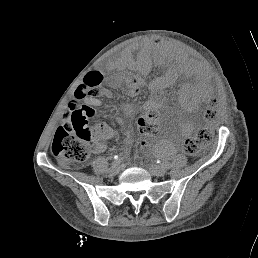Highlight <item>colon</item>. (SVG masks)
<instances>
[{
  "label": "colon",
  "instance_id": "1",
  "mask_svg": "<svg viewBox=\"0 0 258 258\" xmlns=\"http://www.w3.org/2000/svg\"><path fill=\"white\" fill-rule=\"evenodd\" d=\"M101 81V75L90 72L84 78V85L77 90V99L83 98L90 91L92 85ZM69 114L64 124L56 131L52 153L63 167L85 161L91 152L90 143L98 134V128L90 126L85 109L78 107L76 101L69 104ZM211 116V115H209ZM212 140V133L208 128H200L184 142V150L190 155L198 154Z\"/></svg>",
  "mask_w": 258,
  "mask_h": 258
}]
</instances>
